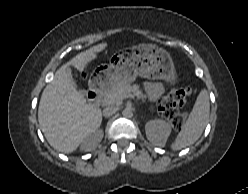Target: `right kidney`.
Segmentation results:
<instances>
[{
	"label": "right kidney",
	"instance_id": "1",
	"mask_svg": "<svg viewBox=\"0 0 248 194\" xmlns=\"http://www.w3.org/2000/svg\"><path fill=\"white\" fill-rule=\"evenodd\" d=\"M102 138H103L102 130H97L93 132L92 134L88 135L85 138V140L82 142L81 150L91 151L98 145V143L101 142Z\"/></svg>",
	"mask_w": 248,
	"mask_h": 194
}]
</instances>
